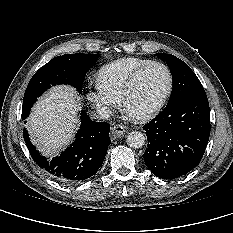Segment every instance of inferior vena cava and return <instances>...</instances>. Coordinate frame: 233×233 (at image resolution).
Masks as SVG:
<instances>
[{
	"label": "inferior vena cava",
	"mask_w": 233,
	"mask_h": 233,
	"mask_svg": "<svg viewBox=\"0 0 233 233\" xmlns=\"http://www.w3.org/2000/svg\"><path fill=\"white\" fill-rule=\"evenodd\" d=\"M97 114L100 119H108L111 114V110H109L106 106H98Z\"/></svg>",
	"instance_id": "602c4592"
}]
</instances>
